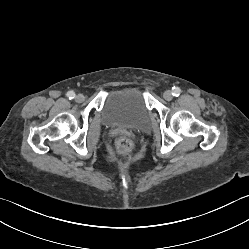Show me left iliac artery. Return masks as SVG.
Returning a JSON list of instances; mask_svg holds the SVG:
<instances>
[{
	"instance_id": "left-iliac-artery-1",
	"label": "left iliac artery",
	"mask_w": 249,
	"mask_h": 249,
	"mask_svg": "<svg viewBox=\"0 0 249 249\" xmlns=\"http://www.w3.org/2000/svg\"><path fill=\"white\" fill-rule=\"evenodd\" d=\"M180 93H181V89L179 88V87H173L172 88V95L173 96H179L180 95Z\"/></svg>"
}]
</instances>
